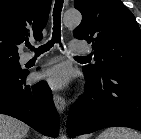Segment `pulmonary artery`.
Instances as JSON below:
<instances>
[{"instance_id":"e3ab8cb5","label":"pulmonary artery","mask_w":141,"mask_h":139,"mask_svg":"<svg viewBox=\"0 0 141 139\" xmlns=\"http://www.w3.org/2000/svg\"><path fill=\"white\" fill-rule=\"evenodd\" d=\"M70 48L72 51L74 52H78V53H88L90 52V48L85 45V44H82L80 42H77V41H73L70 43ZM34 58V56L32 54H25L23 56V61L27 62V61H30Z\"/></svg>"}]
</instances>
